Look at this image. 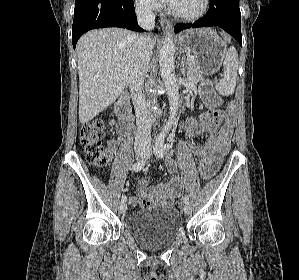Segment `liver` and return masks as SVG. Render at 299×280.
Segmentation results:
<instances>
[{
  "mask_svg": "<svg viewBox=\"0 0 299 280\" xmlns=\"http://www.w3.org/2000/svg\"><path fill=\"white\" fill-rule=\"evenodd\" d=\"M138 35L119 28L92 30L77 43L79 120L89 122L111 105L128 83ZM152 47L156 43L150 37Z\"/></svg>",
  "mask_w": 299,
  "mask_h": 280,
  "instance_id": "obj_1",
  "label": "liver"
}]
</instances>
